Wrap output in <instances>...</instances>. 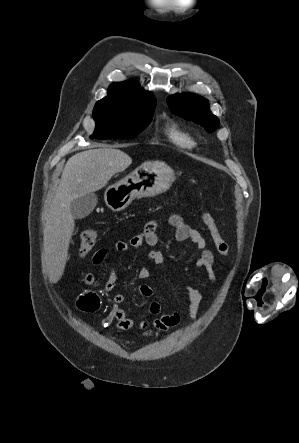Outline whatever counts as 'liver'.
Listing matches in <instances>:
<instances>
[{"mask_svg": "<svg viewBox=\"0 0 299 443\" xmlns=\"http://www.w3.org/2000/svg\"><path fill=\"white\" fill-rule=\"evenodd\" d=\"M131 163L128 154L110 146L91 148L69 158L45 217L44 258L51 283L61 279L68 259L75 228L71 202L100 190L113 175L124 171Z\"/></svg>", "mask_w": 299, "mask_h": 443, "instance_id": "liver-1", "label": "liver"}]
</instances>
